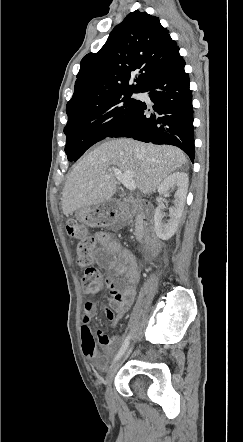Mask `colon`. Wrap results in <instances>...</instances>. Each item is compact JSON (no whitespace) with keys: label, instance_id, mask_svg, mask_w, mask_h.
<instances>
[{"label":"colon","instance_id":"obj_1","mask_svg":"<svg viewBox=\"0 0 243 442\" xmlns=\"http://www.w3.org/2000/svg\"><path fill=\"white\" fill-rule=\"evenodd\" d=\"M68 235L78 241L76 253L77 262L84 268L82 288L86 294L96 295L105 289L108 281L104 279L101 271L93 266V254L96 249V238L89 233L87 225L75 220L66 222Z\"/></svg>","mask_w":243,"mask_h":442}]
</instances>
